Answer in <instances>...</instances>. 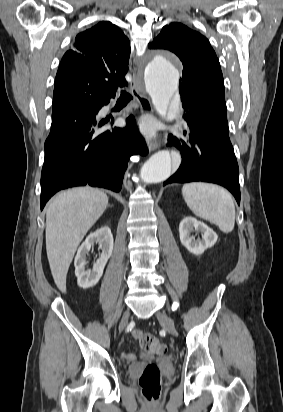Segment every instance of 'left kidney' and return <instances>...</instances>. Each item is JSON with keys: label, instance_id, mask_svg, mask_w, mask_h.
<instances>
[{"label": "left kidney", "instance_id": "left-kidney-1", "mask_svg": "<svg viewBox=\"0 0 283 412\" xmlns=\"http://www.w3.org/2000/svg\"><path fill=\"white\" fill-rule=\"evenodd\" d=\"M194 229L202 233L201 240H195V237L190 235ZM179 236L181 244L194 255L203 254L206 249L214 246L218 239L211 228L193 217H186L180 222Z\"/></svg>", "mask_w": 283, "mask_h": 412}]
</instances>
